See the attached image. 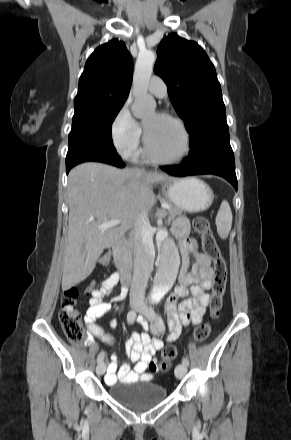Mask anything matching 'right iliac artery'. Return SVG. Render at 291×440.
I'll return each instance as SVG.
<instances>
[{"mask_svg": "<svg viewBox=\"0 0 291 440\" xmlns=\"http://www.w3.org/2000/svg\"><path fill=\"white\" fill-rule=\"evenodd\" d=\"M135 319H136V312L133 310L129 311L127 314L128 323L132 324L135 321ZM104 356H105L104 352H100L97 357V362L103 361Z\"/></svg>", "mask_w": 291, "mask_h": 440, "instance_id": "82829eb1", "label": "right iliac artery"}]
</instances>
